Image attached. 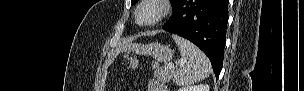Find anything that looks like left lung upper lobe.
I'll use <instances>...</instances> for the list:
<instances>
[{
  "mask_svg": "<svg viewBox=\"0 0 304 91\" xmlns=\"http://www.w3.org/2000/svg\"><path fill=\"white\" fill-rule=\"evenodd\" d=\"M138 0H131V4H135ZM172 9L175 7V5L179 2V0H170Z\"/></svg>",
  "mask_w": 304,
  "mask_h": 91,
  "instance_id": "1",
  "label": "left lung upper lobe"
}]
</instances>
